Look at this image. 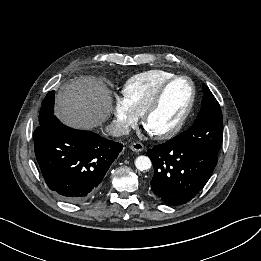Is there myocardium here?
<instances>
[{
    "mask_svg": "<svg viewBox=\"0 0 261 261\" xmlns=\"http://www.w3.org/2000/svg\"><path fill=\"white\" fill-rule=\"evenodd\" d=\"M180 79L187 80L191 86V97H190L188 106H187L186 110L184 111L182 117L180 118L179 122L174 127H172L171 129H169L167 131L160 132V133L150 132L151 135L153 137H155L156 139H170L173 136H175L176 134H178L184 127L186 121L188 120V118L193 110V106H194L195 98H196V88H195V84H194L193 80L187 75H175L160 87V89L157 91L156 95L154 96V98L152 99V101L150 102V104L148 105L146 110L144 111V113L142 115L143 126L146 130L149 131L147 125H148V121H149L150 117L160 107V105L163 101V98H164L167 90L169 89V87L174 82H176Z\"/></svg>",
    "mask_w": 261,
    "mask_h": 261,
    "instance_id": "myocardium-1",
    "label": "myocardium"
}]
</instances>
